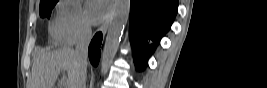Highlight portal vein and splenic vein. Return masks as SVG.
Here are the masks:
<instances>
[{"mask_svg":"<svg viewBox=\"0 0 267 88\" xmlns=\"http://www.w3.org/2000/svg\"><path fill=\"white\" fill-rule=\"evenodd\" d=\"M63 85H64V88H67V85H66V82H65V77H64V75H63Z\"/></svg>","mask_w":267,"mask_h":88,"instance_id":"obj_1","label":"portal vein and splenic vein"}]
</instances>
